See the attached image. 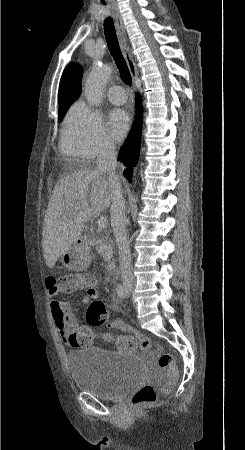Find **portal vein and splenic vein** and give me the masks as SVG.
<instances>
[{
  "label": "portal vein and splenic vein",
  "mask_w": 245,
  "mask_h": 450,
  "mask_svg": "<svg viewBox=\"0 0 245 450\" xmlns=\"http://www.w3.org/2000/svg\"><path fill=\"white\" fill-rule=\"evenodd\" d=\"M97 224H98L99 229H105L108 224L107 219L104 217H101L100 219H98Z\"/></svg>",
  "instance_id": "18ae733b"
}]
</instances>
